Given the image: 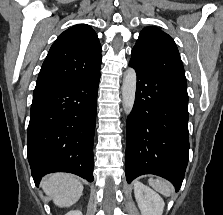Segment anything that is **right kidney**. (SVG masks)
Instances as JSON below:
<instances>
[{
  "mask_svg": "<svg viewBox=\"0 0 223 215\" xmlns=\"http://www.w3.org/2000/svg\"><path fill=\"white\" fill-rule=\"evenodd\" d=\"M65 215H82V211H80V209H71V211H68Z\"/></svg>",
  "mask_w": 223,
  "mask_h": 215,
  "instance_id": "1",
  "label": "right kidney"
}]
</instances>
